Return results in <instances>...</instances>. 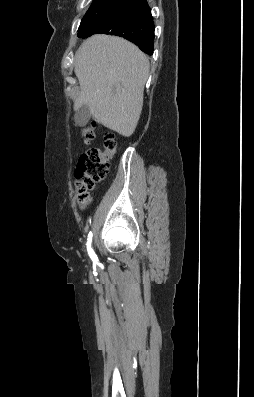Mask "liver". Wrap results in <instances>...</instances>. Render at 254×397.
I'll return each instance as SVG.
<instances>
[{
    "instance_id": "liver-1",
    "label": "liver",
    "mask_w": 254,
    "mask_h": 397,
    "mask_svg": "<svg viewBox=\"0 0 254 397\" xmlns=\"http://www.w3.org/2000/svg\"><path fill=\"white\" fill-rule=\"evenodd\" d=\"M149 69L148 57L129 41L103 34L90 37L76 54L80 94L75 109L87 105L96 122L131 136L142 111Z\"/></svg>"
}]
</instances>
